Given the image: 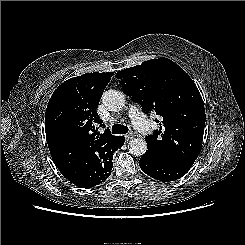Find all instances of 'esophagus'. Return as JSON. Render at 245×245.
<instances>
[{
  "instance_id": "1",
  "label": "esophagus",
  "mask_w": 245,
  "mask_h": 245,
  "mask_svg": "<svg viewBox=\"0 0 245 245\" xmlns=\"http://www.w3.org/2000/svg\"><path fill=\"white\" fill-rule=\"evenodd\" d=\"M134 137H135V134L133 132H129V133L125 134L126 140L133 139Z\"/></svg>"
}]
</instances>
